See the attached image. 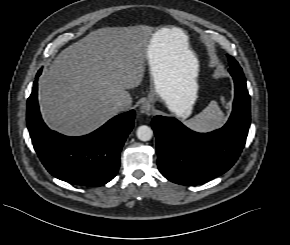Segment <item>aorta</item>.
Instances as JSON below:
<instances>
[{"label": "aorta", "instance_id": "1", "mask_svg": "<svg viewBox=\"0 0 290 245\" xmlns=\"http://www.w3.org/2000/svg\"><path fill=\"white\" fill-rule=\"evenodd\" d=\"M136 135L141 141H149L153 136V130L147 125H142L137 128Z\"/></svg>", "mask_w": 290, "mask_h": 245}]
</instances>
